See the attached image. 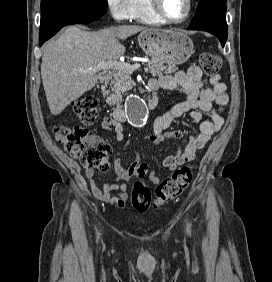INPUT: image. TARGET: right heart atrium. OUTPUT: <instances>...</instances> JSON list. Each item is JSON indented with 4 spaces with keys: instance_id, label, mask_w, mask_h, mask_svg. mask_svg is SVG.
<instances>
[{
    "instance_id": "1",
    "label": "right heart atrium",
    "mask_w": 272,
    "mask_h": 282,
    "mask_svg": "<svg viewBox=\"0 0 272 282\" xmlns=\"http://www.w3.org/2000/svg\"><path fill=\"white\" fill-rule=\"evenodd\" d=\"M138 0H106L108 11L112 18L117 21H125L136 15Z\"/></svg>"
}]
</instances>
